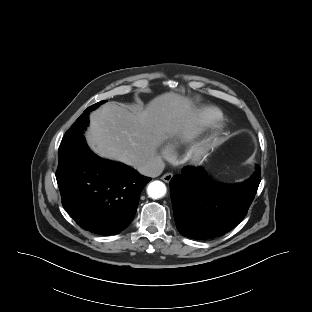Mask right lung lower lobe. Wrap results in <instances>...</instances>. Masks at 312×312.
I'll list each match as a JSON object with an SVG mask.
<instances>
[{"instance_id":"98d812e1","label":"right lung lower lobe","mask_w":312,"mask_h":312,"mask_svg":"<svg viewBox=\"0 0 312 312\" xmlns=\"http://www.w3.org/2000/svg\"><path fill=\"white\" fill-rule=\"evenodd\" d=\"M56 178L65 210L81 228L99 235L120 233L131 223L151 180L127 165L101 159L84 139L58 164Z\"/></svg>"}]
</instances>
